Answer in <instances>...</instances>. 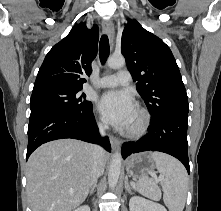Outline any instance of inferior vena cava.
Returning <instances> with one entry per match:
<instances>
[{"label": "inferior vena cava", "mask_w": 221, "mask_h": 211, "mask_svg": "<svg viewBox=\"0 0 221 211\" xmlns=\"http://www.w3.org/2000/svg\"><path fill=\"white\" fill-rule=\"evenodd\" d=\"M108 128L105 124H99V131L102 135L105 134V130ZM104 150L100 146H93L94 164L92 169V183L93 185L97 182V179L103 174L104 166L101 162V156Z\"/></svg>", "instance_id": "inferior-vena-cava-1"}]
</instances>
